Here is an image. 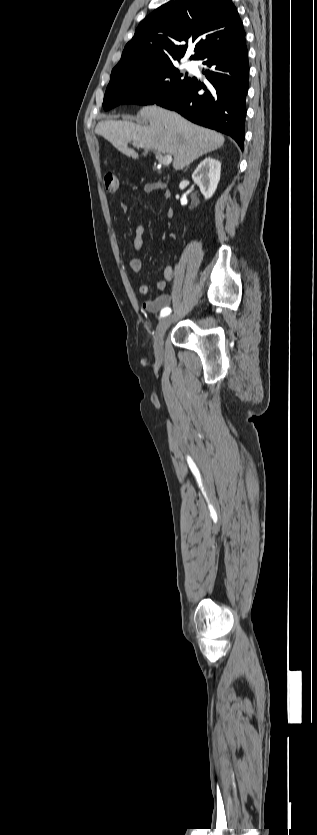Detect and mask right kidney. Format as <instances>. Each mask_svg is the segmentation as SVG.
Listing matches in <instances>:
<instances>
[{"label": "right kidney", "instance_id": "ca27d5eb", "mask_svg": "<svg viewBox=\"0 0 317 835\" xmlns=\"http://www.w3.org/2000/svg\"><path fill=\"white\" fill-rule=\"evenodd\" d=\"M220 172V161L212 157L205 158L193 172L192 179L199 186L205 199L213 196L220 180Z\"/></svg>", "mask_w": 317, "mask_h": 835}]
</instances>
